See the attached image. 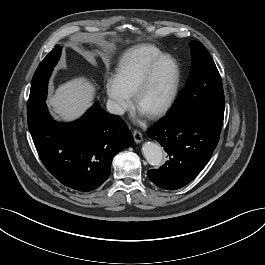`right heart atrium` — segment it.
<instances>
[{"label":"right heart atrium","instance_id":"right-heart-atrium-1","mask_svg":"<svg viewBox=\"0 0 265 265\" xmlns=\"http://www.w3.org/2000/svg\"><path fill=\"white\" fill-rule=\"evenodd\" d=\"M106 93L115 113L122 114L130 106V97L117 86L113 77L106 81Z\"/></svg>","mask_w":265,"mask_h":265}]
</instances>
